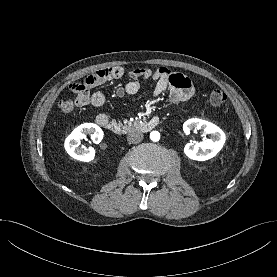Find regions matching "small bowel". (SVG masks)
<instances>
[{"instance_id":"c3829d8e","label":"small bowel","mask_w":277,"mask_h":277,"mask_svg":"<svg viewBox=\"0 0 277 277\" xmlns=\"http://www.w3.org/2000/svg\"><path fill=\"white\" fill-rule=\"evenodd\" d=\"M124 69L120 66L100 69L90 74L83 83L75 84L72 90L75 94V101L78 106L93 105L101 107L105 103V96L102 92L90 93V90L100 84L122 77ZM129 80L122 86L116 88L115 94L122 98L125 95L136 94L143 80H153L155 82L154 96H159L168 91L169 101L177 105L188 101L194 94V87L191 80L180 73L170 71L165 67L157 69L139 68L129 72ZM75 86L83 89H76ZM108 118L104 113L96 117L97 123L101 119Z\"/></svg>"}]
</instances>
